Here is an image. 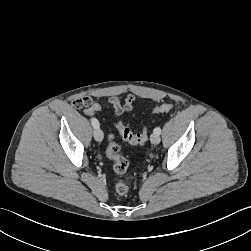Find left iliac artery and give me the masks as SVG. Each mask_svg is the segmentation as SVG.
Here are the masks:
<instances>
[{"mask_svg":"<svg viewBox=\"0 0 251 251\" xmlns=\"http://www.w3.org/2000/svg\"><path fill=\"white\" fill-rule=\"evenodd\" d=\"M154 133H156V134H161V128L160 127H156L155 129H154Z\"/></svg>","mask_w":251,"mask_h":251,"instance_id":"1","label":"left iliac artery"}]
</instances>
